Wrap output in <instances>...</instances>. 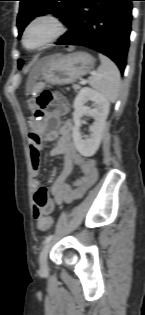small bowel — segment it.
I'll return each instance as SVG.
<instances>
[{
	"label": "small bowel",
	"instance_id": "small-bowel-1",
	"mask_svg": "<svg viewBox=\"0 0 145 315\" xmlns=\"http://www.w3.org/2000/svg\"><path fill=\"white\" fill-rule=\"evenodd\" d=\"M36 131L44 141H49L53 138V133L45 127H38ZM71 131L72 123L69 121L64 123L59 129L57 144L50 151L52 156L62 157V170L51 185L52 199L49 202L48 191L45 187H41V183L37 178L41 167L40 151L42 141L36 134H29L28 147H30V165L33 177L32 188L35 191L34 201L36 204L33 208V217L37 221L38 229L39 223L42 221V216H50L55 206L63 202H72L82 197L97 180L96 162L85 158L77 151L72 141ZM74 168H78L81 176L75 179L72 184H69L67 179ZM52 224L53 219L48 227L50 228Z\"/></svg>",
	"mask_w": 145,
	"mask_h": 315
}]
</instances>
